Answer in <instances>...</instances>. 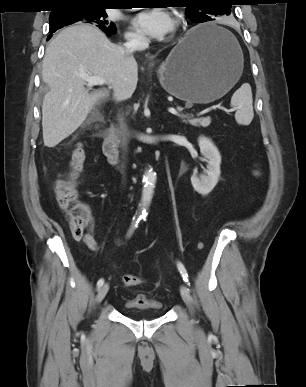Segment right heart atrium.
<instances>
[{
  "mask_svg": "<svg viewBox=\"0 0 306 387\" xmlns=\"http://www.w3.org/2000/svg\"><path fill=\"white\" fill-rule=\"evenodd\" d=\"M125 37L130 42H140L143 39V37L139 33L132 32V31H128L125 34Z\"/></svg>",
  "mask_w": 306,
  "mask_h": 387,
  "instance_id": "obj_1",
  "label": "right heart atrium"
}]
</instances>
